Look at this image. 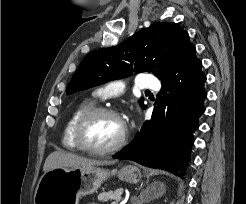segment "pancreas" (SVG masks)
<instances>
[{
    "label": "pancreas",
    "instance_id": "obj_1",
    "mask_svg": "<svg viewBox=\"0 0 246 204\" xmlns=\"http://www.w3.org/2000/svg\"><path fill=\"white\" fill-rule=\"evenodd\" d=\"M122 192V189H117L116 191L102 192L98 195V200L101 202L116 201L120 199Z\"/></svg>",
    "mask_w": 246,
    "mask_h": 204
}]
</instances>
